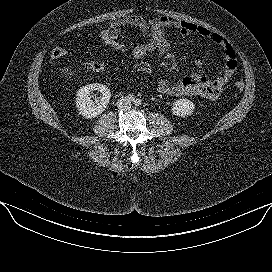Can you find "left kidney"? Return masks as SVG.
<instances>
[{
	"label": "left kidney",
	"mask_w": 272,
	"mask_h": 272,
	"mask_svg": "<svg viewBox=\"0 0 272 272\" xmlns=\"http://www.w3.org/2000/svg\"><path fill=\"white\" fill-rule=\"evenodd\" d=\"M195 109V105L188 99H179L174 102L172 112L176 116L185 117L191 115Z\"/></svg>",
	"instance_id": "1"
}]
</instances>
